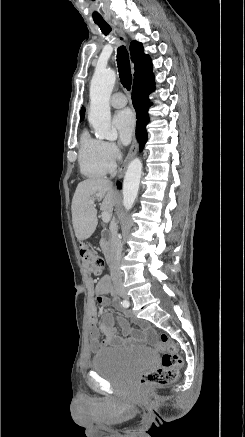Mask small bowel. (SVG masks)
<instances>
[{"mask_svg":"<svg viewBox=\"0 0 245 437\" xmlns=\"http://www.w3.org/2000/svg\"><path fill=\"white\" fill-rule=\"evenodd\" d=\"M85 284L88 289H95L99 304L107 305L109 303V300L106 298V295L111 292V282L108 277H103L98 282L92 278H87ZM116 320L119 322L122 332L127 336V339H124L118 334L115 326ZM88 327L91 350L95 353L105 348L143 341L152 336L146 327L142 331L133 329L126 318L115 316L112 313H105L99 319L95 308H92L90 311ZM100 333L104 334L103 340H100Z\"/></svg>","mask_w":245,"mask_h":437,"instance_id":"1","label":"small bowel"}]
</instances>
